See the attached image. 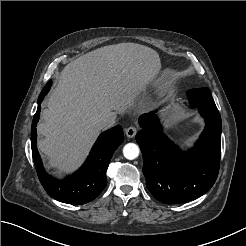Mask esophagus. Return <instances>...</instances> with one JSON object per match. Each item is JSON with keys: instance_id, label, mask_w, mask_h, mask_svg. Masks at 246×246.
I'll use <instances>...</instances> for the list:
<instances>
[{"instance_id": "obj_1", "label": "esophagus", "mask_w": 246, "mask_h": 246, "mask_svg": "<svg viewBox=\"0 0 246 246\" xmlns=\"http://www.w3.org/2000/svg\"><path fill=\"white\" fill-rule=\"evenodd\" d=\"M125 133H126V136L128 138H133L136 135V133H137V128L136 127H133V126L128 127L126 129Z\"/></svg>"}]
</instances>
